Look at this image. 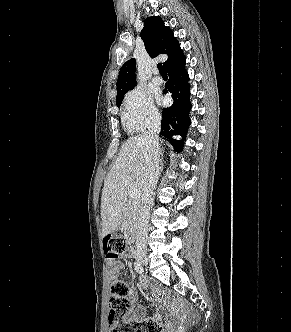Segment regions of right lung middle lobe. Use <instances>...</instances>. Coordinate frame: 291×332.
Segmentation results:
<instances>
[{
  "label": "right lung middle lobe",
  "instance_id": "dd1d6c3e",
  "mask_svg": "<svg viewBox=\"0 0 291 332\" xmlns=\"http://www.w3.org/2000/svg\"><path fill=\"white\" fill-rule=\"evenodd\" d=\"M121 102H122V100H120L119 102H116L117 107H119L121 105Z\"/></svg>",
  "mask_w": 291,
  "mask_h": 332
}]
</instances>
